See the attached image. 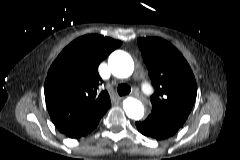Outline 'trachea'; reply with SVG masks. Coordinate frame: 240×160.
Instances as JSON below:
<instances>
[{"label": "trachea", "instance_id": "trachea-1", "mask_svg": "<svg viewBox=\"0 0 240 160\" xmlns=\"http://www.w3.org/2000/svg\"><path fill=\"white\" fill-rule=\"evenodd\" d=\"M131 91V87L125 83L119 84L117 87V92L120 96H124L129 94Z\"/></svg>", "mask_w": 240, "mask_h": 160}]
</instances>
